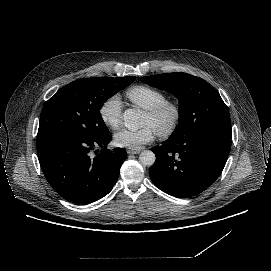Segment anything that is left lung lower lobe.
Wrapping results in <instances>:
<instances>
[{"label":"left lung lower lobe","instance_id":"left-lung-lower-lobe-1","mask_svg":"<svg viewBox=\"0 0 271 271\" xmlns=\"http://www.w3.org/2000/svg\"><path fill=\"white\" fill-rule=\"evenodd\" d=\"M231 129L203 128L170 137L152 151L156 161L149 176L157 188L190 198L207 189L221 174L231 148Z\"/></svg>","mask_w":271,"mask_h":271}]
</instances>
